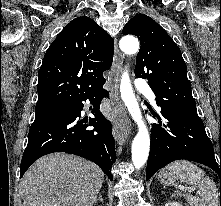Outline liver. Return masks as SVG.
<instances>
[{"mask_svg": "<svg viewBox=\"0 0 221 206\" xmlns=\"http://www.w3.org/2000/svg\"><path fill=\"white\" fill-rule=\"evenodd\" d=\"M103 181L94 163L65 153L49 154L23 176V206H93Z\"/></svg>", "mask_w": 221, "mask_h": 206, "instance_id": "6515ba94", "label": "liver"}]
</instances>
